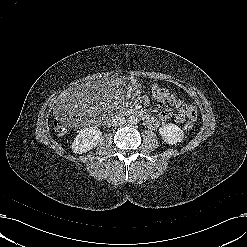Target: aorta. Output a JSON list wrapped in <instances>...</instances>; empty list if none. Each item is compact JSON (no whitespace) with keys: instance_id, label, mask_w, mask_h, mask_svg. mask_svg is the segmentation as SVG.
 Wrapping results in <instances>:
<instances>
[{"instance_id":"762f6f07","label":"aorta","mask_w":247,"mask_h":247,"mask_svg":"<svg viewBox=\"0 0 247 247\" xmlns=\"http://www.w3.org/2000/svg\"><path fill=\"white\" fill-rule=\"evenodd\" d=\"M127 121H128V123H129L130 125H135V124L138 123L139 120H138V117H137V116H135V115H130V116L128 117Z\"/></svg>"}]
</instances>
